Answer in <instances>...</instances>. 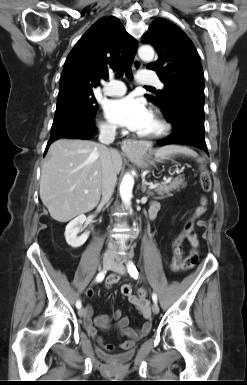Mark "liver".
<instances>
[{
  "instance_id": "liver-1",
  "label": "liver",
  "mask_w": 247,
  "mask_h": 385,
  "mask_svg": "<svg viewBox=\"0 0 247 385\" xmlns=\"http://www.w3.org/2000/svg\"><path fill=\"white\" fill-rule=\"evenodd\" d=\"M104 152L102 145L89 140L64 138L51 144L41 171L40 198L54 220L65 223L98 205ZM109 153L118 174L122 157L115 149Z\"/></svg>"
}]
</instances>
